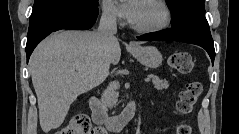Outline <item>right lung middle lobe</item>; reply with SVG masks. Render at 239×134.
I'll list each match as a JSON object with an SVG mask.
<instances>
[{"mask_svg":"<svg viewBox=\"0 0 239 134\" xmlns=\"http://www.w3.org/2000/svg\"><path fill=\"white\" fill-rule=\"evenodd\" d=\"M61 3H76L88 8L98 6V0H34V7L31 15H35L42 10Z\"/></svg>","mask_w":239,"mask_h":134,"instance_id":"obj_1","label":"right lung middle lobe"}]
</instances>
